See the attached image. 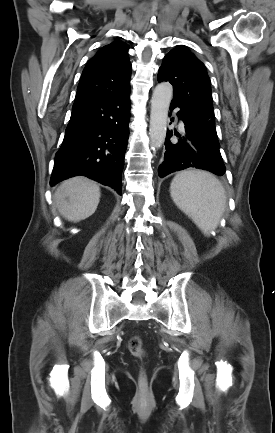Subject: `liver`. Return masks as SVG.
<instances>
[{
  "mask_svg": "<svg viewBox=\"0 0 275 433\" xmlns=\"http://www.w3.org/2000/svg\"><path fill=\"white\" fill-rule=\"evenodd\" d=\"M99 201V186L81 176L63 181L54 194V203L59 213L71 222L90 217L96 211Z\"/></svg>",
  "mask_w": 275,
  "mask_h": 433,
  "instance_id": "liver-1",
  "label": "liver"
}]
</instances>
